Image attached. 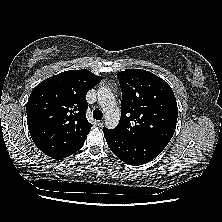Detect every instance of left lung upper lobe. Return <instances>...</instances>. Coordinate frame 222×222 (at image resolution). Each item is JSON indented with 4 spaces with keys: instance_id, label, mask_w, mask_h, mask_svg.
I'll return each instance as SVG.
<instances>
[{
    "instance_id": "obj_1",
    "label": "left lung upper lobe",
    "mask_w": 222,
    "mask_h": 222,
    "mask_svg": "<svg viewBox=\"0 0 222 222\" xmlns=\"http://www.w3.org/2000/svg\"><path fill=\"white\" fill-rule=\"evenodd\" d=\"M122 91L119 124L113 133L134 140L168 143L176 128L178 108L171 87L153 73L127 69L117 73Z\"/></svg>"
}]
</instances>
